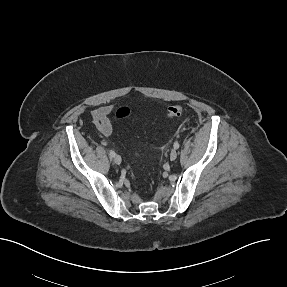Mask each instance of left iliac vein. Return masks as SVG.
Masks as SVG:
<instances>
[{
    "mask_svg": "<svg viewBox=\"0 0 287 287\" xmlns=\"http://www.w3.org/2000/svg\"><path fill=\"white\" fill-rule=\"evenodd\" d=\"M177 155H178V153H177L176 149H172L171 153H170V160L174 161L177 158Z\"/></svg>",
    "mask_w": 287,
    "mask_h": 287,
    "instance_id": "4c4485c4",
    "label": "left iliac vein"
}]
</instances>
